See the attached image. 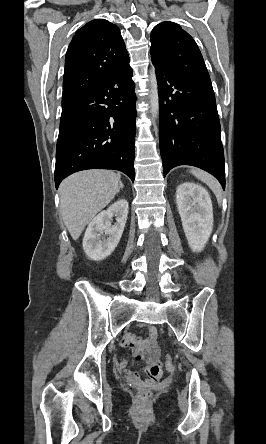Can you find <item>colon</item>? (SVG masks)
Instances as JSON below:
<instances>
[{"label":"colon","instance_id":"1","mask_svg":"<svg viewBox=\"0 0 266 444\" xmlns=\"http://www.w3.org/2000/svg\"><path fill=\"white\" fill-rule=\"evenodd\" d=\"M164 361H165L166 368L168 370H173L174 369V363H173V360H172V358L170 356H166ZM137 398H138L139 404H142V405L146 404L150 400V398H151V392L149 390H146V389L141 390L138 393Z\"/></svg>","mask_w":266,"mask_h":444}]
</instances>
